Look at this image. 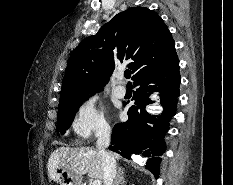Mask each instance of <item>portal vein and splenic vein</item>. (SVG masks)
<instances>
[{
  "label": "portal vein and splenic vein",
  "instance_id": "1",
  "mask_svg": "<svg viewBox=\"0 0 233 185\" xmlns=\"http://www.w3.org/2000/svg\"><path fill=\"white\" fill-rule=\"evenodd\" d=\"M92 185H101V181L100 180H94L93 182H92Z\"/></svg>",
  "mask_w": 233,
  "mask_h": 185
}]
</instances>
